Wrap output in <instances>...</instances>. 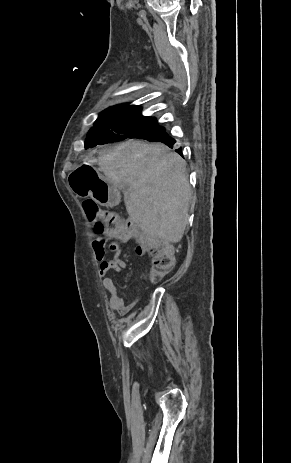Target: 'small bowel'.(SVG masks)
Returning <instances> with one entry per match:
<instances>
[{"instance_id": "small-bowel-1", "label": "small bowel", "mask_w": 291, "mask_h": 463, "mask_svg": "<svg viewBox=\"0 0 291 463\" xmlns=\"http://www.w3.org/2000/svg\"><path fill=\"white\" fill-rule=\"evenodd\" d=\"M125 241L124 239H121ZM92 248L95 254V258L99 264V275L101 277L102 287L109 294V304L111 310L119 315H127L131 309L141 301V293L136 294L128 304L124 302V299L118 292V288L110 277L112 271L116 273H121L126 268L125 261L121 258L122 250L120 245L111 241L108 242L106 239H96L92 243ZM108 249L113 252V258L107 259L105 255V250ZM135 253L139 256H142L144 252L136 246Z\"/></svg>"}]
</instances>
